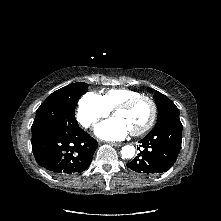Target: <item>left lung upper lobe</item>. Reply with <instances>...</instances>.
Instances as JSON below:
<instances>
[{
    "instance_id": "5c2ea615",
    "label": "left lung upper lobe",
    "mask_w": 221,
    "mask_h": 221,
    "mask_svg": "<svg viewBox=\"0 0 221 221\" xmlns=\"http://www.w3.org/2000/svg\"><path fill=\"white\" fill-rule=\"evenodd\" d=\"M154 100L158 109V121L156 126L165 122H180L179 109L167 96L156 91Z\"/></svg>"
}]
</instances>
